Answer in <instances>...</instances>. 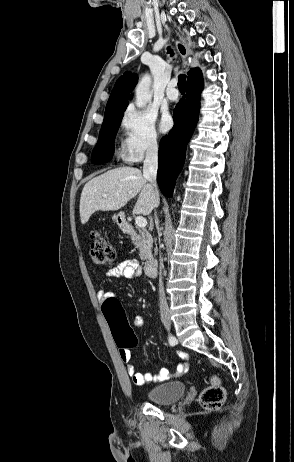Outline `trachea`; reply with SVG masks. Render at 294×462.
Listing matches in <instances>:
<instances>
[{
    "label": "trachea",
    "mask_w": 294,
    "mask_h": 462,
    "mask_svg": "<svg viewBox=\"0 0 294 462\" xmlns=\"http://www.w3.org/2000/svg\"><path fill=\"white\" fill-rule=\"evenodd\" d=\"M168 53H170L171 56H173V52L170 48H168ZM185 82H186V75L181 74L178 79V89L180 91H185Z\"/></svg>",
    "instance_id": "trachea-1"
}]
</instances>
